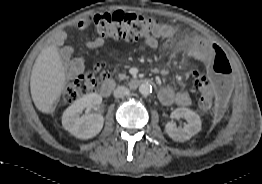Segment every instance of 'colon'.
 Instances as JSON below:
<instances>
[{"label": "colon", "mask_w": 262, "mask_h": 184, "mask_svg": "<svg viewBox=\"0 0 262 184\" xmlns=\"http://www.w3.org/2000/svg\"><path fill=\"white\" fill-rule=\"evenodd\" d=\"M78 25L82 28L94 26L100 36L122 41H135L153 33L161 26L158 19L123 11L87 16L82 18ZM211 48V68L215 75L211 80H207L196 74L194 84L200 109L215 112L219 118L231 94L232 70L224 51L216 45H212ZM108 77L109 71L105 66L101 63L96 64L92 70L80 74L66 86L63 92L64 101L71 103L95 91Z\"/></svg>", "instance_id": "colon-1"}]
</instances>
